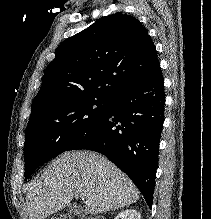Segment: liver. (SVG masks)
Listing matches in <instances>:
<instances>
[{"label":"liver","instance_id":"obj_1","mask_svg":"<svg viewBox=\"0 0 211 219\" xmlns=\"http://www.w3.org/2000/svg\"><path fill=\"white\" fill-rule=\"evenodd\" d=\"M86 198L84 212L99 214L135 203L140 192L106 157L89 151L65 152L34 180L26 194L29 219L46 217Z\"/></svg>","mask_w":211,"mask_h":219}]
</instances>
